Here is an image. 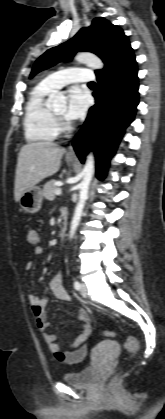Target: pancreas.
<instances>
[{
    "mask_svg": "<svg viewBox=\"0 0 165 419\" xmlns=\"http://www.w3.org/2000/svg\"><path fill=\"white\" fill-rule=\"evenodd\" d=\"M56 181L55 180H49L48 182L45 183L44 187H43V196L47 199V200H53L55 197V190L57 189L56 187Z\"/></svg>",
    "mask_w": 165,
    "mask_h": 419,
    "instance_id": "obj_1",
    "label": "pancreas"
}]
</instances>
